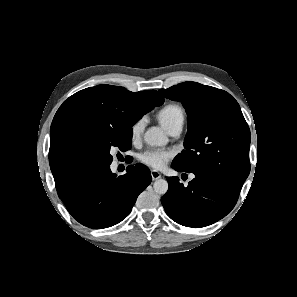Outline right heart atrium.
I'll list each match as a JSON object with an SVG mask.
<instances>
[{"mask_svg":"<svg viewBox=\"0 0 297 297\" xmlns=\"http://www.w3.org/2000/svg\"><path fill=\"white\" fill-rule=\"evenodd\" d=\"M145 125H146L145 118H140L133 123L130 129L131 139L133 142H137L141 139L145 129Z\"/></svg>","mask_w":297,"mask_h":297,"instance_id":"1","label":"right heart atrium"}]
</instances>
